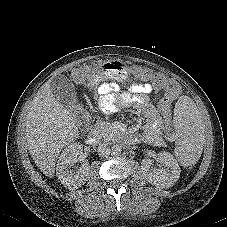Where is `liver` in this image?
Wrapping results in <instances>:
<instances>
[{
    "mask_svg": "<svg viewBox=\"0 0 227 227\" xmlns=\"http://www.w3.org/2000/svg\"><path fill=\"white\" fill-rule=\"evenodd\" d=\"M50 81L41 86L28 110L26 138L37 167L52 178L61 149L73 142L79 132L70 111L51 92Z\"/></svg>",
    "mask_w": 227,
    "mask_h": 227,
    "instance_id": "obj_1",
    "label": "liver"
}]
</instances>
